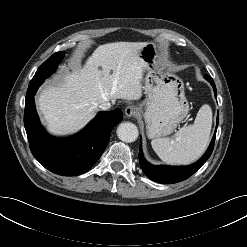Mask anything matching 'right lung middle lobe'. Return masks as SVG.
<instances>
[{"mask_svg":"<svg viewBox=\"0 0 247 247\" xmlns=\"http://www.w3.org/2000/svg\"><path fill=\"white\" fill-rule=\"evenodd\" d=\"M64 52H57L48 58L36 71L35 76L30 83H42L48 76H50L57 68L60 61L63 59Z\"/></svg>","mask_w":247,"mask_h":247,"instance_id":"right-lung-middle-lobe-1","label":"right lung middle lobe"}]
</instances>
